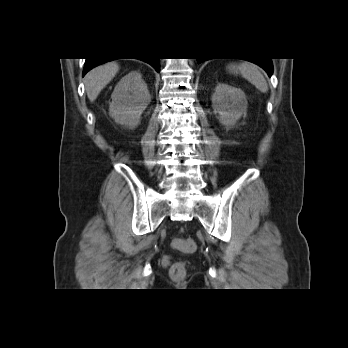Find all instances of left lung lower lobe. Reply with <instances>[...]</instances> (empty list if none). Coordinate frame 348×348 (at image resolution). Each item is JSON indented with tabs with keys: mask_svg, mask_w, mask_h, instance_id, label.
I'll return each instance as SVG.
<instances>
[{
	"mask_svg": "<svg viewBox=\"0 0 348 348\" xmlns=\"http://www.w3.org/2000/svg\"><path fill=\"white\" fill-rule=\"evenodd\" d=\"M206 59L203 58H198L197 61L198 63H201L203 61H205ZM248 61H251L257 65H259L260 67H262L264 70H266V72L268 73L269 76L272 75L273 72V64L271 59H245Z\"/></svg>",
	"mask_w": 348,
	"mask_h": 348,
	"instance_id": "left-lung-lower-lobe-1",
	"label": "left lung lower lobe"
}]
</instances>
